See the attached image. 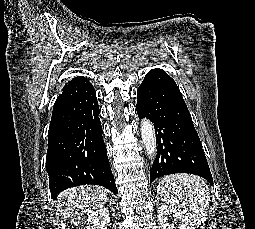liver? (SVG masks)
<instances>
[{
  "mask_svg": "<svg viewBox=\"0 0 255 229\" xmlns=\"http://www.w3.org/2000/svg\"><path fill=\"white\" fill-rule=\"evenodd\" d=\"M107 193L105 188L94 185L78 186L65 191L62 196L66 198L63 205L66 207L67 216H73L74 211L87 214L101 208L107 202Z\"/></svg>",
  "mask_w": 255,
  "mask_h": 229,
  "instance_id": "liver-1",
  "label": "liver"
}]
</instances>
